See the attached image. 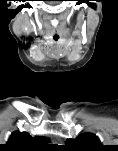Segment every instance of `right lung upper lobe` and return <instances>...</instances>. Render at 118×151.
I'll list each match as a JSON object with an SVG mask.
<instances>
[{
  "label": "right lung upper lobe",
  "mask_w": 118,
  "mask_h": 151,
  "mask_svg": "<svg viewBox=\"0 0 118 151\" xmlns=\"http://www.w3.org/2000/svg\"><path fill=\"white\" fill-rule=\"evenodd\" d=\"M47 141L48 139L43 136L31 137L27 132L15 131L11 134L4 147L10 151L42 150L48 147L45 144Z\"/></svg>",
  "instance_id": "1"
}]
</instances>
